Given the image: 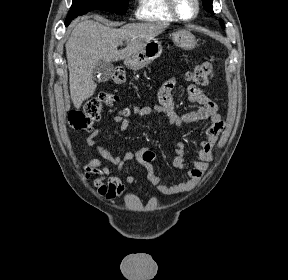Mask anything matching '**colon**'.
<instances>
[{
    "label": "colon",
    "mask_w": 288,
    "mask_h": 280,
    "mask_svg": "<svg viewBox=\"0 0 288 280\" xmlns=\"http://www.w3.org/2000/svg\"><path fill=\"white\" fill-rule=\"evenodd\" d=\"M214 76L213 63L211 60L196 65L187 75L188 80L196 85H207ZM125 71L118 67L113 73L112 80L120 85L125 82ZM117 99L115 93L102 92L97 97L89 100L82 110L71 111L68 115L70 126L79 131H90L93 124L99 120L100 113L105 106H111ZM128 115V110L124 111Z\"/></svg>",
    "instance_id": "obj_1"
}]
</instances>
